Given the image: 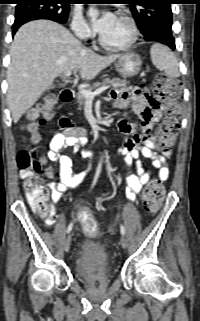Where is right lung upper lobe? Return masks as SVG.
<instances>
[{"label": "right lung upper lobe", "instance_id": "1", "mask_svg": "<svg viewBox=\"0 0 200 321\" xmlns=\"http://www.w3.org/2000/svg\"><path fill=\"white\" fill-rule=\"evenodd\" d=\"M18 1H23V0H18ZM67 1H73V0H67Z\"/></svg>", "mask_w": 200, "mask_h": 321}]
</instances>
